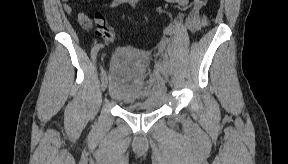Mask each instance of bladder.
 I'll return each instance as SVG.
<instances>
[{"label":"bladder","mask_w":288,"mask_h":164,"mask_svg":"<svg viewBox=\"0 0 288 164\" xmlns=\"http://www.w3.org/2000/svg\"><path fill=\"white\" fill-rule=\"evenodd\" d=\"M148 63L149 56L137 49H122L111 58L109 96L127 112L151 113L160 107L145 84Z\"/></svg>","instance_id":"31cf9c89"}]
</instances>
